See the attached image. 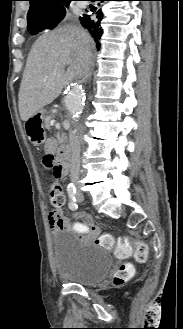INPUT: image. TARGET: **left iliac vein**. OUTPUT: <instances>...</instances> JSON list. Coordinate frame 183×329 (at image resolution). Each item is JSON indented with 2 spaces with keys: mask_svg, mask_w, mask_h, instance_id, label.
I'll list each match as a JSON object with an SVG mask.
<instances>
[{
  "mask_svg": "<svg viewBox=\"0 0 183 329\" xmlns=\"http://www.w3.org/2000/svg\"><path fill=\"white\" fill-rule=\"evenodd\" d=\"M77 200H78L79 202H82V201L84 200L83 195L79 194V195L77 196Z\"/></svg>",
  "mask_w": 183,
  "mask_h": 329,
  "instance_id": "1",
  "label": "left iliac vein"
}]
</instances>
